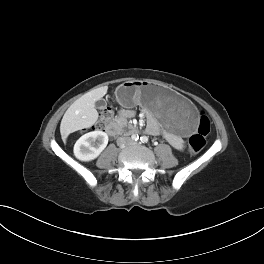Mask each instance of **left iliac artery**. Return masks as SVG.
<instances>
[{
    "mask_svg": "<svg viewBox=\"0 0 264 264\" xmlns=\"http://www.w3.org/2000/svg\"><path fill=\"white\" fill-rule=\"evenodd\" d=\"M140 141L142 143H147L148 142V137L147 136H142V137H140Z\"/></svg>",
    "mask_w": 264,
    "mask_h": 264,
    "instance_id": "obj_1",
    "label": "left iliac artery"
}]
</instances>
